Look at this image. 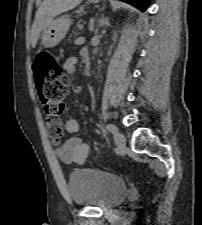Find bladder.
<instances>
[{"label": "bladder", "mask_w": 202, "mask_h": 225, "mask_svg": "<svg viewBox=\"0 0 202 225\" xmlns=\"http://www.w3.org/2000/svg\"><path fill=\"white\" fill-rule=\"evenodd\" d=\"M67 189L77 206L109 209L127 195V183L118 175L101 169L80 168L69 174Z\"/></svg>", "instance_id": "1"}]
</instances>
